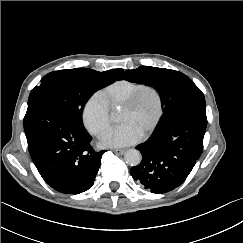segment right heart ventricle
Segmentation results:
<instances>
[{
	"mask_svg": "<svg viewBox=\"0 0 243 243\" xmlns=\"http://www.w3.org/2000/svg\"><path fill=\"white\" fill-rule=\"evenodd\" d=\"M142 84L140 82L121 79L107 86L102 90L101 94L109 107H122Z\"/></svg>",
	"mask_w": 243,
	"mask_h": 243,
	"instance_id": "e07e8e85",
	"label": "right heart ventricle"
}]
</instances>
